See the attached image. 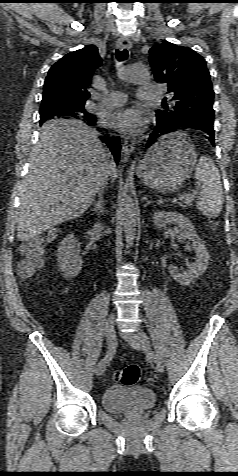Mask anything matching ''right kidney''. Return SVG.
Listing matches in <instances>:
<instances>
[{"label": "right kidney", "mask_w": 238, "mask_h": 476, "mask_svg": "<svg viewBox=\"0 0 238 476\" xmlns=\"http://www.w3.org/2000/svg\"><path fill=\"white\" fill-rule=\"evenodd\" d=\"M80 244L73 234L67 235L57 249L58 267L65 278L78 275L82 267V259L79 255Z\"/></svg>", "instance_id": "obj_1"}]
</instances>
